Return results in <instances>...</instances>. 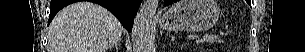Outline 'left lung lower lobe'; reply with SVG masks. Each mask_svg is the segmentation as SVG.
Segmentation results:
<instances>
[{
    "label": "left lung lower lobe",
    "mask_w": 305,
    "mask_h": 52,
    "mask_svg": "<svg viewBox=\"0 0 305 52\" xmlns=\"http://www.w3.org/2000/svg\"><path fill=\"white\" fill-rule=\"evenodd\" d=\"M172 2H176V0H165V5H169V4H171Z\"/></svg>",
    "instance_id": "0a47b994"
}]
</instances>
